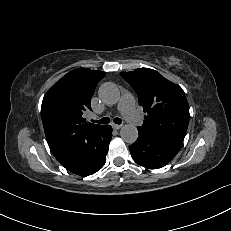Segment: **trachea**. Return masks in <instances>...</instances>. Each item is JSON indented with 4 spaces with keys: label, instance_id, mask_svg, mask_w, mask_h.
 Masks as SVG:
<instances>
[{
    "label": "trachea",
    "instance_id": "obj_1",
    "mask_svg": "<svg viewBox=\"0 0 231 231\" xmlns=\"http://www.w3.org/2000/svg\"><path fill=\"white\" fill-rule=\"evenodd\" d=\"M114 123L116 124H121L122 123V119L120 118H115L114 120ZM93 122H96V123H99V124H108L110 122V119L108 117H104L98 121H93Z\"/></svg>",
    "mask_w": 231,
    "mask_h": 231
}]
</instances>
